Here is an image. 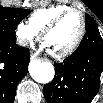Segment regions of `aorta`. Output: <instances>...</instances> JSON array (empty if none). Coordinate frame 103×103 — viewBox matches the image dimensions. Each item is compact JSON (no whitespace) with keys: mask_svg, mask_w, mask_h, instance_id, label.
<instances>
[{"mask_svg":"<svg viewBox=\"0 0 103 103\" xmlns=\"http://www.w3.org/2000/svg\"><path fill=\"white\" fill-rule=\"evenodd\" d=\"M29 73L36 82L46 84L53 80L55 70L50 62L33 60L29 64Z\"/></svg>","mask_w":103,"mask_h":103,"instance_id":"aorta-1","label":"aorta"}]
</instances>
